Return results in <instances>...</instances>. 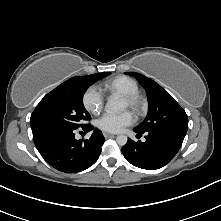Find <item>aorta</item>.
Instances as JSON below:
<instances>
[{
	"mask_svg": "<svg viewBox=\"0 0 221 221\" xmlns=\"http://www.w3.org/2000/svg\"><path fill=\"white\" fill-rule=\"evenodd\" d=\"M124 108V103L120 99L110 97L106 103L105 111L109 114H116L122 112ZM116 141L120 146H124L126 145L128 138L125 135H119L117 136Z\"/></svg>",
	"mask_w": 221,
	"mask_h": 221,
	"instance_id": "aorta-1",
	"label": "aorta"
}]
</instances>
